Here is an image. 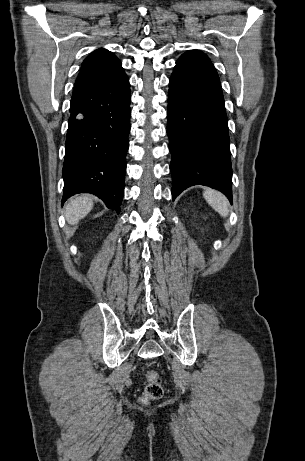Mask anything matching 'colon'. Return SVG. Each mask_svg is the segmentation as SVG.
<instances>
[{
  "label": "colon",
  "instance_id": "colon-1",
  "mask_svg": "<svg viewBox=\"0 0 305 461\" xmlns=\"http://www.w3.org/2000/svg\"><path fill=\"white\" fill-rule=\"evenodd\" d=\"M146 386L144 388L141 401L148 403L160 399L163 395V386L159 373L155 370H149L144 375Z\"/></svg>",
  "mask_w": 305,
  "mask_h": 461
}]
</instances>
